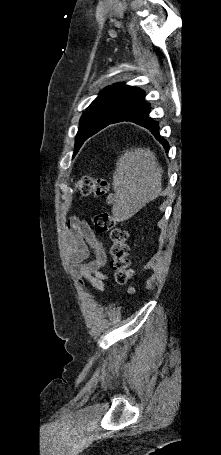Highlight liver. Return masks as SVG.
<instances>
[{
  "mask_svg": "<svg viewBox=\"0 0 221 455\" xmlns=\"http://www.w3.org/2000/svg\"><path fill=\"white\" fill-rule=\"evenodd\" d=\"M162 174L163 169L150 149L124 151L113 173L114 220L126 221L154 200L162 192Z\"/></svg>",
  "mask_w": 221,
  "mask_h": 455,
  "instance_id": "1",
  "label": "liver"
}]
</instances>
